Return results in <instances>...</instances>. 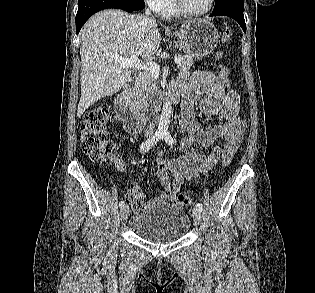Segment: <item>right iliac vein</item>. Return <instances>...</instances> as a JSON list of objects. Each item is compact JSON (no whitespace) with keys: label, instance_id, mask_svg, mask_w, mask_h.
Segmentation results:
<instances>
[{"label":"right iliac vein","instance_id":"1","mask_svg":"<svg viewBox=\"0 0 315 293\" xmlns=\"http://www.w3.org/2000/svg\"><path fill=\"white\" fill-rule=\"evenodd\" d=\"M129 215V207L127 205H124L123 207H121L120 209V216L122 220H126L128 218Z\"/></svg>","mask_w":315,"mask_h":293}]
</instances>
